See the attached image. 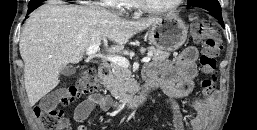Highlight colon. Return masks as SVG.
Instances as JSON below:
<instances>
[{
    "label": "colon",
    "mask_w": 257,
    "mask_h": 130,
    "mask_svg": "<svg viewBox=\"0 0 257 130\" xmlns=\"http://www.w3.org/2000/svg\"><path fill=\"white\" fill-rule=\"evenodd\" d=\"M192 33L195 39L203 44L199 62L202 72L207 77L201 82V92L203 98L207 99L215 88L217 57L222 49V41L210 22L205 19L193 20ZM100 87L101 78L97 71L94 68L84 69L78 74L75 84L59 92V101L68 104L78 95L96 92ZM35 116L43 130H69L68 121L57 107H36Z\"/></svg>",
    "instance_id": "obj_1"
}]
</instances>
